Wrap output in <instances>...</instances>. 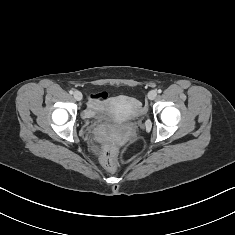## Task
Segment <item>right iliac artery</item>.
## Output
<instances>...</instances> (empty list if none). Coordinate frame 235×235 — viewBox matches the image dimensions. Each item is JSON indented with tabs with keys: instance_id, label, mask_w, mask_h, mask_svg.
<instances>
[{
	"instance_id": "right-iliac-artery-1",
	"label": "right iliac artery",
	"mask_w": 235,
	"mask_h": 235,
	"mask_svg": "<svg viewBox=\"0 0 235 235\" xmlns=\"http://www.w3.org/2000/svg\"><path fill=\"white\" fill-rule=\"evenodd\" d=\"M69 93H70V94H73V93H74V91H73V90H70V91H69Z\"/></svg>"
}]
</instances>
